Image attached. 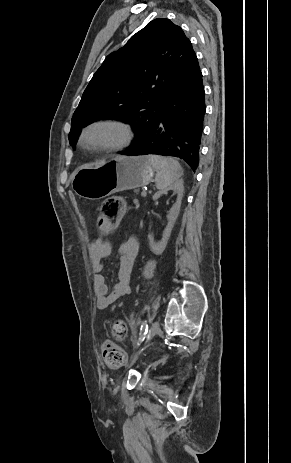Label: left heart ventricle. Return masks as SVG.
<instances>
[{
  "label": "left heart ventricle",
  "mask_w": 291,
  "mask_h": 463,
  "mask_svg": "<svg viewBox=\"0 0 291 463\" xmlns=\"http://www.w3.org/2000/svg\"><path fill=\"white\" fill-rule=\"evenodd\" d=\"M116 133L113 129L110 128H100L95 130L91 135L90 138L93 141L100 142V141H111L115 138Z\"/></svg>",
  "instance_id": "obj_1"
}]
</instances>
